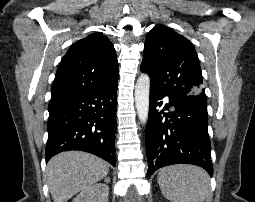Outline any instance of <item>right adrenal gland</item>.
Returning <instances> with one entry per match:
<instances>
[{
	"label": "right adrenal gland",
	"mask_w": 255,
	"mask_h": 202,
	"mask_svg": "<svg viewBox=\"0 0 255 202\" xmlns=\"http://www.w3.org/2000/svg\"><path fill=\"white\" fill-rule=\"evenodd\" d=\"M105 182L109 183L110 182V178H105Z\"/></svg>",
	"instance_id": "right-adrenal-gland-1"
}]
</instances>
